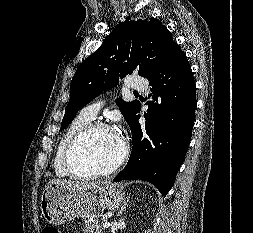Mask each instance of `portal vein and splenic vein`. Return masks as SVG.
Masks as SVG:
<instances>
[{
	"label": "portal vein and splenic vein",
	"instance_id": "portal-vein-and-splenic-vein-1",
	"mask_svg": "<svg viewBox=\"0 0 253 233\" xmlns=\"http://www.w3.org/2000/svg\"><path fill=\"white\" fill-rule=\"evenodd\" d=\"M103 227H104V228H108V227H110V223H109V222H105V223H103Z\"/></svg>",
	"mask_w": 253,
	"mask_h": 233
}]
</instances>
